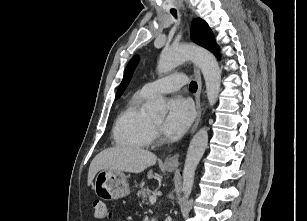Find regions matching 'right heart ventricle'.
Returning a JSON list of instances; mask_svg holds the SVG:
<instances>
[{
	"label": "right heart ventricle",
	"instance_id": "e07e8e85",
	"mask_svg": "<svg viewBox=\"0 0 307 221\" xmlns=\"http://www.w3.org/2000/svg\"><path fill=\"white\" fill-rule=\"evenodd\" d=\"M151 96L141 90L136 92L118 115L112 136L116 146L146 148L153 138L152 118L144 109Z\"/></svg>",
	"mask_w": 307,
	"mask_h": 221
}]
</instances>
